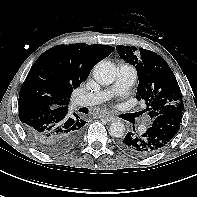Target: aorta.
Segmentation results:
<instances>
[{
  "instance_id": "aorta-1",
  "label": "aorta",
  "mask_w": 197,
  "mask_h": 197,
  "mask_svg": "<svg viewBox=\"0 0 197 197\" xmlns=\"http://www.w3.org/2000/svg\"><path fill=\"white\" fill-rule=\"evenodd\" d=\"M116 66L106 60L100 61L93 70L94 79L101 85H110L116 77ZM109 134L114 137H122L125 134V126L121 122H113L109 128Z\"/></svg>"
}]
</instances>
